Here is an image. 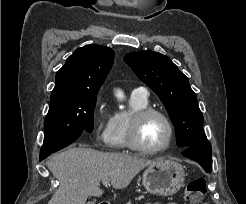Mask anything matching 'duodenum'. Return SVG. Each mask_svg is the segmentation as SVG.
<instances>
[{
  "label": "duodenum",
  "mask_w": 246,
  "mask_h": 204,
  "mask_svg": "<svg viewBox=\"0 0 246 204\" xmlns=\"http://www.w3.org/2000/svg\"><path fill=\"white\" fill-rule=\"evenodd\" d=\"M100 204H110L109 202H101Z\"/></svg>",
  "instance_id": "1"
}]
</instances>
